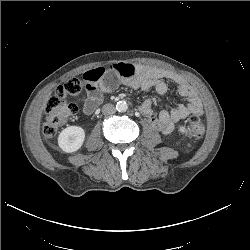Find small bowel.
Segmentation results:
<instances>
[{
  "mask_svg": "<svg viewBox=\"0 0 250 250\" xmlns=\"http://www.w3.org/2000/svg\"><path fill=\"white\" fill-rule=\"evenodd\" d=\"M165 80L177 85L178 92L187 102L172 108L162 109L153 115L151 99H146L139 107L140 112L149 118L152 126L163 134L173 131L176 123L189 115L200 116L203 113L202 102L195 89L180 75L166 69L146 67L135 64L117 63L108 67H97L88 70L83 75L85 99L83 111L92 114L103 101L105 95L113 91L119 82L141 90L154 89L164 95L168 91Z\"/></svg>",
  "mask_w": 250,
  "mask_h": 250,
  "instance_id": "c3829d8e",
  "label": "small bowel"
}]
</instances>
